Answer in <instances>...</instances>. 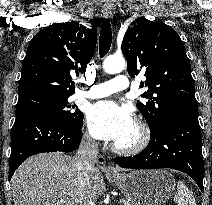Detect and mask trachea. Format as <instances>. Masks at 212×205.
I'll return each instance as SVG.
<instances>
[{"instance_id":"trachea-1","label":"trachea","mask_w":212,"mask_h":205,"mask_svg":"<svg viewBox=\"0 0 212 205\" xmlns=\"http://www.w3.org/2000/svg\"><path fill=\"white\" fill-rule=\"evenodd\" d=\"M112 31H111V24L108 20H104L101 26L100 38H99V46H100V57H104L110 47L112 42Z\"/></svg>"}]
</instances>
